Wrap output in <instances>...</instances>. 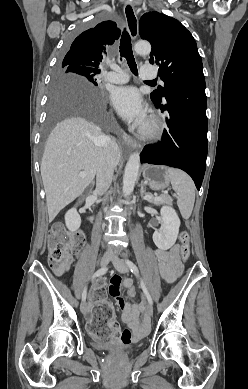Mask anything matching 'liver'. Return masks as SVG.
Here are the masks:
<instances>
[{
	"instance_id": "6515ba94",
	"label": "liver",
	"mask_w": 248,
	"mask_h": 389,
	"mask_svg": "<svg viewBox=\"0 0 248 389\" xmlns=\"http://www.w3.org/2000/svg\"><path fill=\"white\" fill-rule=\"evenodd\" d=\"M81 89L88 94L86 102L97 104L92 100L94 92L90 88L81 86ZM107 139L92 122L81 117L65 119L52 130L40 168L50 222L94 180ZM120 158L119 151L117 164ZM82 171L86 176H79Z\"/></svg>"
}]
</instances>
